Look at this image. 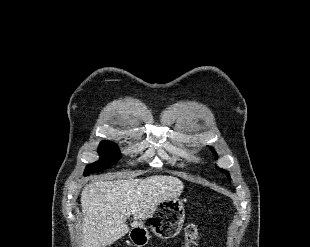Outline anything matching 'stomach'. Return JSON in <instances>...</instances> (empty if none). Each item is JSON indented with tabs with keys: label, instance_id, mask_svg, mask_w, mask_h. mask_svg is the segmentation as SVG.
<instances>
[{
	"label": "stomach",
	"instance_id": "0dacf381",
	"mask_svg": "<svg viewBox=\"0 0 310 247\" xmlns=\"http://www.w3.org/2000/svg\"><path fill=\"white\" fill-rule=\"evenodd\" d=\"M149 220V227L142 223L133 226L129 232V238L136 247H145L148 244L151 237L149 229L162 239L175 237L185 220L184 204L177 197L164 200L155 207Z\"/></svg>",
	"mask_w": 310,
	"mask_h": 247
}]
</instances>
